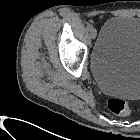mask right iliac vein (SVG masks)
Masks as SVG:
<instances>
[{"label":"right iliac vein","mask_w":140,"mask_h":140,"mask_svg":"<svg viewBox=\"0 0 140 140\" xmlns=\"http://www.w3.org/2000/svg\"><path fill=\"white\" fill-rule=\"evenodd\" d=\"M90 35H91V38L92 39H95L96 38V35H97V30L96 29H91L90 30Z\"/></svg>","instance_id":"right-iliac-vein-1"}]
</instances>
